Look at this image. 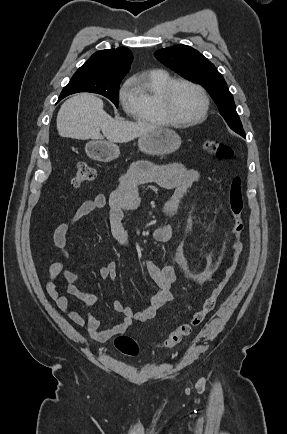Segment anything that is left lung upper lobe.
Instances as JSON below:
<instances>
[{
	"mask_svg": "<svg viewBox=\"0 0 287 434\" xmlns=\"http://www.w3.org/2000/svg\"><path fill=\"white\" fill-rule=\"evenodd\" d=\"M154 55L182 77L202 85L215 101L229 127L236 133L245 135L232 94L223 76L206 57L187 45L160 49Z\"/></svg>",
	"mask_w": 287,
	"mask_h": 434,
	"instance_id": "obj_1",
	"label": "left lung upper lobe"
}]
</instances>
